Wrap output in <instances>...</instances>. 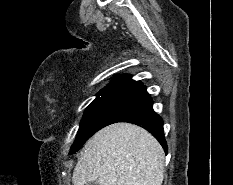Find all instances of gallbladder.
<instances>
[{
    "mask_svg": "<svg viewBox=\"0 0 233 185\" xmlns=\"http://www.w3.org/2000/svg\"><path fill=\"white\" fill-rule=\"evenodd\" d=\"M85 185H99L97 181H93V182H90V183H86Z\"/></svg>",
    "mask_w": 233,
    "mask_h": 185,
    "instance_id": "obj_1",
    "label": "gallbladder"
}]
</instances>
